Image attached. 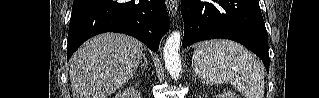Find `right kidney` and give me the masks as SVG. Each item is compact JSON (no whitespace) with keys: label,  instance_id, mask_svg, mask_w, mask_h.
Wrapping results in <instances>:
<instances>
[{"label":"right kidney","instance_id":"right-kidney-1","mask_svg":"<svg viewBox=\"0 0 319 98\" xmlns=\"http://www.w3.org/2000/svg\"><path fill=\"white\" fill-rule=\"evenodd\" d=\"M125 94H118L117 96H116V98H125Z\"/></svg>","mask_w":319,"mask_h":98}]
</instances>
